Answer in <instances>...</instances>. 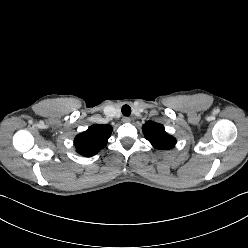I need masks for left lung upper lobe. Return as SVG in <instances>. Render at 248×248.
Wrapping results in <instances>:
<instances>
[{
    "label": "left lung upper lobe",
    "mask_w": 248,
    "mask_h": 248,
    "mask_svg": "<svg viewBox=\"0 0 248 248\" xmlns=\"http://www.w3.org/2000/svg\"><path fill=\"white\" fill-rule=\"evenodd\" d=\"M145 138L157 149H170L176 139L165 132L163 125L153 121L146 122L142 127Z\"/></svg>",
    "instance_id": "5c2ea615"
}]
</instances>
